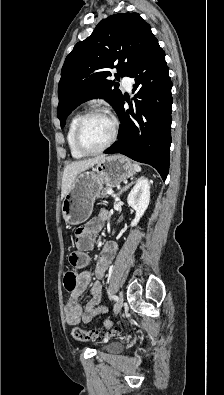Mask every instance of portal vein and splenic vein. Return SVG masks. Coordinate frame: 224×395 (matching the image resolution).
<instances>
[{
    "label": "portal vein and splenic vein",
    "mask_w": 224,
    "mask_h": 395,
    "mask_svg": "<svg viewBox=\"0 0 224 395\" xmlns=\"http://www.w3.org/2000/svg\"><path fill=\"white\" fill-rule=\"evenodd\" d=\"M107 193H108L109 195H113V194H114V191H113L112 189H109V190L107 191Z\"/></svg>",
    "instance_id": "portal-vein-and-splenic-vein-1"
}]
</instances>
